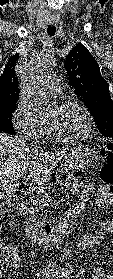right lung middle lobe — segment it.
I'll return each instance as SVG.
<instances>
[{"label":"right lung middle lobe","instance_id":"dd1d6c3e","mask_svg":"<svg viewBox=\"0 0 113 279\" xmlns=\"http://www.w3.org/2000/svg\"><path fill=\"white\" fill-rule=\"evenodd\" d=\"M15 108L16 106L0 109V132L9 133L11 135L16 134L13 129V123L11 122Z\"/></svg>","mask_w":113,"mask_h":279}]
</instances>
